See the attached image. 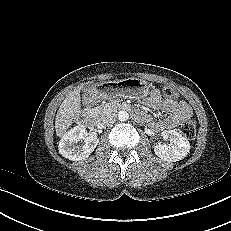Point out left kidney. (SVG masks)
Instances as JSON below:
<instances>
[{
    "mask_svg": "<svg viewBox=\"0 0 231 231\" xmlns=\"http://www.w3.org/2000/svg\"><path fill=\"white\" fill-rule=\"evenodd\" d=\"M169 144H157L154 147L155 154L162 160L176 162L187 156L190 151V143L186 137L175 130H164L161 133Z\"/></svg>",
    "mask_w": 231,
    "mask_h": 231,
    "instance_id": "obj_1",
    "label": "left kidney"
}]
</instances>
